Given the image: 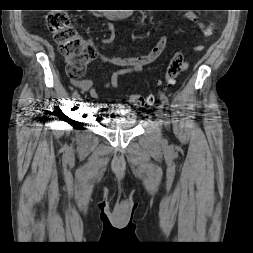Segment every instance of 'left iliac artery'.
<instances>
[{
    "mask_svg": "<svg viewBox=\"0 0 253 253\" xmlns=\"http://www.w3.org/2000/svg\"><path fill=\"white\" fill-rule=\"evenodd\" d=\"M160 100H161V103H162V107H167L168 106V98L164 94L160 95Z\"/></svg>",
    "mask_w": 253,
    "mask_h": 253,
    "instance_id": "44dca946",
    "label": "left iliac artery"
}]
</instances>
